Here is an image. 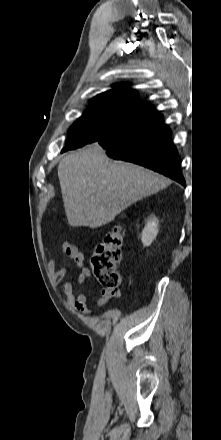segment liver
Returning a JSON list of instances; mask_svg holds the SVG:
<instances>
[{"mask_svg":"<svg viewBox=\"0 0 221 440\" xmlns=\"http://www.w3.org/2000/svg\"><path fill=\"white\" fill-rule=\"evenodd\" d=\"M58 178L68 223L90 228L110 223L131 204L171 183L138 165L109 160L98 143L64 157Z\"/></svg>","mask_w":221,"mask_h":440,"instance_id":"1","label":"liver"}]
</instances>
